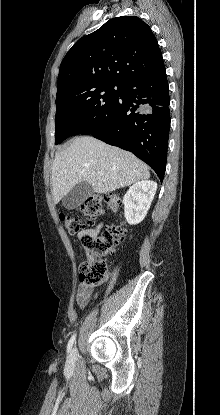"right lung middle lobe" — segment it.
<instances>
[{"instance_id": "right-lung-middle-lobe-1", "label": "right lung middle lobe", "mask_w": 220, "mask_h": 415, "mask_svg": "<svg viewBox=\"0 0 220 415\" xmlns=\"http://www.w3.org/2000/svg\"><path fill=\"white\" fill-rule=\"evenodd\" d=\"M122 87L116 81L83 83L57 94L55 144L97 130L108 119Z\"/></svg>"}]
</instances>
